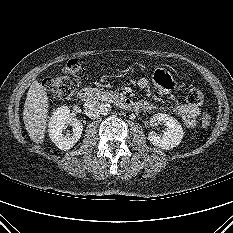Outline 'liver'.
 Here are the masks:
<instances>
[{"mask_svg":"<svg viewBox=\"0 0 233 233\" xmlns=\"http://www.w3.org/2000/svg\"><path fill=\"white\" fill-rule=\"evenodd\" d=\"M49 99L44 87L34 81L27 93L23 110V120L31 140L43 143L48 117Z\"/></svg>","mask_w":233,"mask_h":233,"instance_id":"1","label":"liver"}]
</instances>
